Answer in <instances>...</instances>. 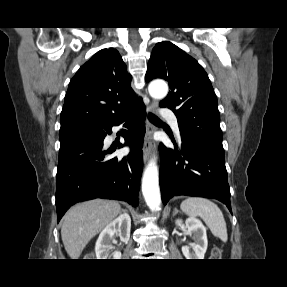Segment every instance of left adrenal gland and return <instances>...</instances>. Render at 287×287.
<instances>
[{
  "label": "left adrenal gland",
  "mask_w": 287,
  "mask_h": 287,
  "mask_svg": "<svg viewBox=\"0 0 287 287\" xmlns=\"http://www.w3.org/2000/svg\"><path fill=\"white\" fill-rule=\"evenodd\" d=\"M178 212H179V210L175 207L174 211H173V216H175Z\"/></svg>",
  "instance_id": "obj_1"
}]
</instances>
